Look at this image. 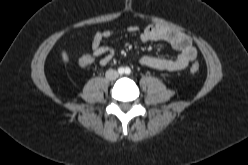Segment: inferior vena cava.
<instances>
[{"mask_svg": "<svg viewBox=\"0 0 248 165\" xmlns=\"http://www.w3.org/2000/svg\"><path fill=\"white\" fill-rule=\"evenodd\" d=\"M119 76L118 72L116 70L110 69L106 71V78L110 80H115Z\"/></svg>", "mask_w": 248, "mask_h": 165, "instance_id": "inferior-vena-cava-1", "label": "inferior vena cava"}]
</instances>
